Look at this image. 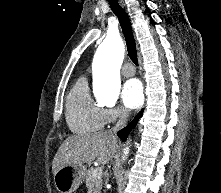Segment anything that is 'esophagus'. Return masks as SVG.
Segmentation results:
<instances>
[{
    "label": "esophagus",
    "instance_id": "obj_1",
    "mask_svg": "<svg viewBox=\"0 0 221 193\" xmlns=\"http://www.w3.org/2000/svg\"><path fill=\"white\" fill-rule=\"evenodd\" d=\"M120 3H121V5L124 7V4H123L122 0H120Z\"/></svg>",
    "mask_w": 221,
    "mask_h": 193
}]
</instances>
